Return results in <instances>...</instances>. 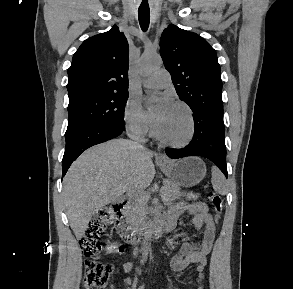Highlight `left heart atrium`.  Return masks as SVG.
<instances>
[{
	"label": "left heart atrium",
	"instance_id": "left-heart-atrium-1",
	"mask_svg": "<svg viewBox=\"0 0 293 289\" xmlns=\"http://www.w3.org/2000/svg\"><path fill=\"white\" fill-rule=\"evenodd\" d=\"M171 105L172 104L170 100L166 97H161L158 100L151 112V119L154 125L157 124L165 116Z\"/></svg>",
	"mask_w": 293,
	"mask_h": 289
}]
</instances>
